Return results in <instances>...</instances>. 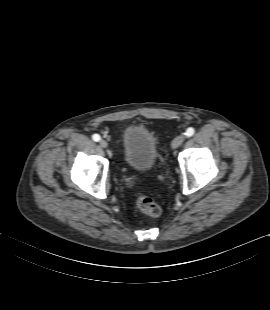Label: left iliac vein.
<instances>
[{
    "label": "left iliac vein",
    "instance_id": "1",
    "mask_svg": "<svg viewBox=\"0 0 270 310\" xmlns=\"http://www.w3.org/2000/svg\"><path fill=\"white\" fill-rule=\"evenodd\" d=\"M184 141H185V135L183 134L178 135L176 138L173 139L171 147L173 149L178 148Z\"/></svg>",
    "mask_w": 270,
    "mask_h": 310
}]
</instances>
